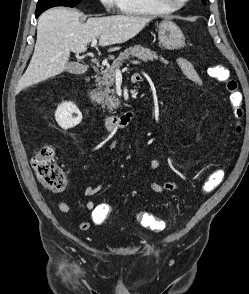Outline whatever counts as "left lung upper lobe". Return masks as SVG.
I'll list each match as a JSON object with an SVG mask.
<instances>
[{
  "mask_svg": "<svg viewBox=\"0 0 249 294\" xmlns=\"http://www.w3.org/2000/svg\"><path fill=\"white\" fill-rule=\"evenodd\" d=\"M203 4H206V1L205 0H202Z\"/></svg>",
  "mask_w": 249,
  "mask_h": 294,
  "instance_id": "1",
  "label": "left lung upper lobe"
}]
</instances>
